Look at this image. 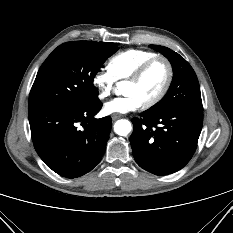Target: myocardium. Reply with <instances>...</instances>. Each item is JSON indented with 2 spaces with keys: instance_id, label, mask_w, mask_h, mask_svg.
<instances>
[{
  "instance_id": "1",
  "label": "myocardium",
  "mask_w": 233,
  "mask_h": 233,
  "mask_svg": "<svg viewBox=\"0 0 233 233\" xmlns=\"http://www.w3.org/2000/svg\"><path fill=\"white\" fill-rule=\"evenodd\" d=\"M158 60H162L167 67V78L166 81L164 83V86L162 87L161 91L158 93L157 96H155L153 99H151L150 101H147L145 103L142 104V106L144 108H151L156 106L157 104H159L164 97L166 96V94L168 93L172 82H173V78H174V69H173V65L171 63V61L163 56V55H156L148 60H146L144 63H142L138 69L129 77L126 79V82L128 83H132V84H136L138 83L143 75L145 74V72L148 70V68L156 61Z\"/></svg>"
}]
</instances>
